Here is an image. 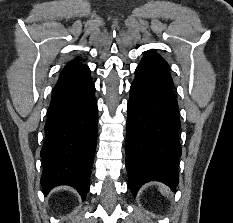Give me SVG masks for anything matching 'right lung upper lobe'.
<instances>
[{"mask_svg": "<svg viewBox=\"0 0 233 223\" xmlns=\"http://www.w3.org/2000/svg\"><path fill=\"white\" fill-rule=\"evenodd\" d=\"M74 63H78V62H76V61H71L69 64H74Z\"/></svg>", "mask_w": 233, "mask_h": 223, "instance_id": "right-lung-upper-lobe-1", "label": "right lung upper lobe"}]
</instances>
